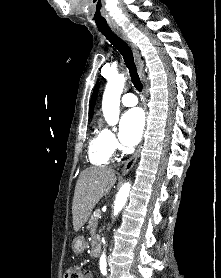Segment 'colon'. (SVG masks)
I'll return each mask as SVG.
<instances>
[{
    "label": "colon",
    "mask_w": 221,
    "mask_h": 278,
    "mask_svg": "<svg viewBox=\"0 0 221 278\" xmlns=\"http://www.w3.org/2000/svg\"><path fill=\"white\" fill-rule=\"evenodd\" d=\"M64 278H84V271L79 266H69L65 271Z\"/></svg>",
    "instance_id": "5ec220e1"
}]
</instances>
